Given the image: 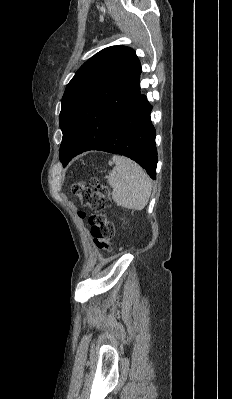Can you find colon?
<instances>
[{
  "label": "colon",
  "instance_id": "colon-1",
  "mask_svg": "<svg viewBox=\"0 0 232 399\" xmlns=\"http://www.w3.org/2000/svg\"><path fill=\"white\" fill-rule=\"evenodd\" d=\"M88 168H93V163H88ZM73 193L81 198H86V203H82V208L94 214V217H86V213H80V218L87 222L89 230H92V242L95 246L99 245V250L103 253L114 251L112 238H117V225L107 218V205H111V185L102 187L101 181H96L91 176H86L84 186L78 182L74 183ZM104 262H109V257H104Z\"/></svg>",
  "mask_w": 232,
  "mask_h": 399
}]
</instances>
